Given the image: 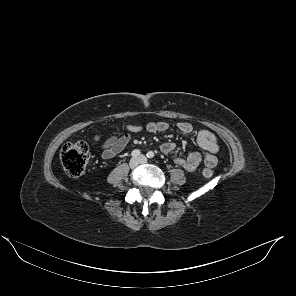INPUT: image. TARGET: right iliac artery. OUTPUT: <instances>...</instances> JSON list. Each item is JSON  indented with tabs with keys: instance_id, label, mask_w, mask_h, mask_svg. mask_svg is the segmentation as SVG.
Segmentation results:
<instances>
[{
	"instance_id": "1",
	"label": "right iliac artery",
	"mask_w": 296,
	"mask_h": 296,
	"mask_svg": "<svg viewBox=\"0 0 296 296\" xmlns=\"http://www.w3.org/2000/svg\"><path fill=\"white\" fill-rule=\"evenodd\" d=\"M140 154H141V152L138 149L133 150L132 153H131V155L133 157H138Z\"/></svg>"
}]
</instances>
